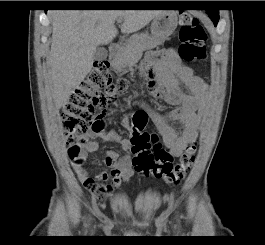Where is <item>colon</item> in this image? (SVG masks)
Listing matches in <instances>:
<instances>
[{"mask_svg": "<svg viewBox=\"0 0 265 245\" xmlns=\"http://www.w3.org/2000/svg\"><path fill=\"white\" fill-rule=\"evenodd\" d=\"M179 57L186 62L202 61L206 58V32L200 21L181 12ZM146 77H154L152 70L143 69ZM124 81L112 82L111 68L107 60L95 62L86 78L72 93L61 109L64 135L68 145L69 159L82 166L83 145L81 140L89 129L100 132L104 128L98 110L107 111L114 106L117 99L126 91ZM131 150L134 170L145 176L163 179L169 185L178 184L192 167L197 145H187L178 160L160 144H154L156 136L144 131L148 115L139 110L131 118Z\"/></svg>", "mask_w": 265, "mask_h": 245, "instance_id": "5ec220e1", "label": "colon"}]
</instances>
